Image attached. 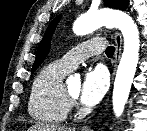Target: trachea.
<instances>
[{
    "instance_id": "trachea-1",
    "label": "trachea",
    "mask_w": 147,
    "mask_h": 131,
    "mask_svg": "<svg viewBox=\"0 0 147 131\" xmlns=\"http://www.w3.org/2000/svg\"><path fill=\"white\" fill-rule=\"evenodd\" d=\"M114 52H115V47H113V46H108L107 47V49H106V55L108 57H112L113 54H114Z\"/></svg>"
}]
</instances>
